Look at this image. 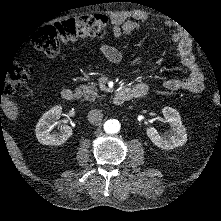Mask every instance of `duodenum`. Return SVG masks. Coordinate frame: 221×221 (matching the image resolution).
I'll return each mask as SVG.
<instances>
[{
  "label": "duodenum",
  "instance_id": "obj_1",
  "mask_svg": "<svg viewBox=\"0 0 221 221\" xmlns=\"http://www.w3.org/2000/svg\"><path fill=\"white\" fill-rule=\"evenodd\" d=\"M145 94V89H132L125 88L117 91L113 97V103L115 105H122L125 102L135 97H140ZM62 98L67 102H72L77 99L78 93L72 89H64L61 93Z\"/></svg>",
  "mask_w": 221,
  "mask_h": 221
}]
</instances>
